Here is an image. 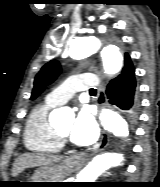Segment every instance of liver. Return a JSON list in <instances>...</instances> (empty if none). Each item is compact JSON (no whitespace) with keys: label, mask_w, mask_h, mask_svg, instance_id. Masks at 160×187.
<instances>
[{"label":"liver","mask_w":160,"mask_h":187,"mask_svg":"<svg viewBox=\"0 0 160 187\" xmlns=\"http://www.w3.org/2000/svg\"><path fill=\"white\" fill-rule=\"evenodd\" d=\"M62 159V156L56 155L25 153L19 156L14 162L12 175L15 177L27 168L51 166Z\"/></svg>","instance_id":"6515ba94"}]
</instances>
